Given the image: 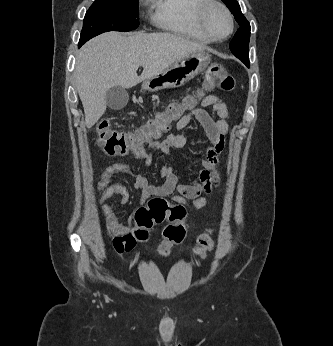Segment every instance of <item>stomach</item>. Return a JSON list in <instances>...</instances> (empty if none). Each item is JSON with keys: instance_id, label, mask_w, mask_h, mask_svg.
Listing matches in <instances>:
<instances>
[{"instance_id": "stomach-1", "label": "stomach", "mask_w": 333, "mask_h": 346, "mask_svg": "<svg viewBox=\"0 0 333 346\" xmlns=\"http://www.w3.org/2000/svg\"><path fill=\"white\" fill-rule=\"evenodd\" d=\"M209 63L210 55L205 50L190 53L162 73L144 80L142 90L156 92L180 87L203 72Z\"/></svg>"}]
</instances>
